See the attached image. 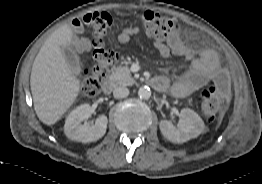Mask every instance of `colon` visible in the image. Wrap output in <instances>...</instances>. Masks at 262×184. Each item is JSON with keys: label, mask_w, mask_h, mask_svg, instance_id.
<instances>
[{"label": "colon", "mask_w": 262, "mask_h": 184, "mask_svg": "<svg viewBox=\"0 0 262 184\" xmlns=\"http://www.w3.org/2000/svg\"><path fill=\"white\" fill-rule=\"evenodd\" d=\"M90 26L93 35V64L84 71L81 93L87 97L97 95L103 81L108 77L110 68L117 62L118 55L107 49L104 38L112 24L111 16L106 12L86 13L80 20ZM139 22L146 34L158 41L169 39L179 31V23L165 15L153 11H145L139 16ZM229 89V76L221 70L214 85L205 88L199 95L202 115L207 120H214L221 114L222 98Z\"/></svg>", "instance_id": "1"}]
</instances>
